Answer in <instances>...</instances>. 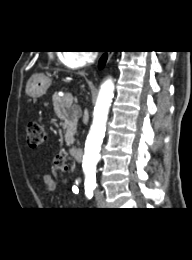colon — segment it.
Masks as SVG:
<instances>
[{
  "instance_id": "obj_1",
  "label": "colon",
  "mask_w": 192,
  "mask_h": 260,
  "mask_svg": "<svg viewBox=\"0 0 192 260\" xmlns=\"http://www.w3.org/2000/svg\"><path fill=\"white\" fill-rule=\"evenodd\" d=\"M26 138L30 147L36 148L45 142L46 132L42 125L35 121H28L26 124ZM54 167L58 171L67 170L68 164L63 156H57L54 160Z\"/></svg>"
}]
</instances>
